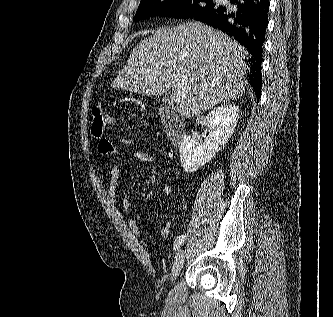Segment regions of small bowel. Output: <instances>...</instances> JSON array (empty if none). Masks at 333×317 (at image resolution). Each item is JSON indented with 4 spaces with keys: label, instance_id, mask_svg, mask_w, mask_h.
Returning <instances> with one entry per match:
<instances>
[{
    "label": "small bowel",
    "instance_id": "small-bowel-1",
    "mask_svg": "<svg viewBox=\"0 0 333 317\" xmlns=\"http://www.w3.org/2000/svg\"><path fill=\"white\" fill-rule=\"evenodd\" d=\"M130 144V140L128 138H123L119 140L118 142H113L107 138H100L97 144V150L102 155H107L110 153H113L119 149V146H128ZM154 156L148 152L144 151H136L131 155V161L133 162H142V163H152L154 161ZM120 168L117 165H114L110 169V182L108 186V196L111 200L116 201L117 198V190L119 187V180H120ZM163 194L171 198L174 193V189L170 185H165L163 187ZM121 204L124 211V214L126 215L127 222L131 229L136 233L137 235H142L139 227L137 226L134 219L129 214V202L126 198V195L124 193L121 194ZM170 220H171V214L168 213L166 217V221L163 225V227L160 230V236L162 238H167L170 231Z\"/></svg>",
    "mask_w": 333,
    "mask_h": 317
}]
</instances>
